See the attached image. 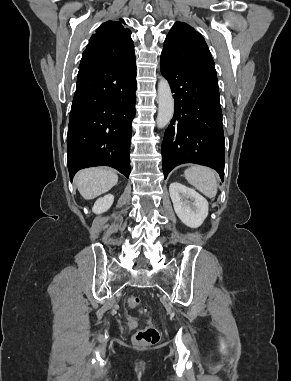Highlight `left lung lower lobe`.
Here are the masks:
<instances>
[{"instance_id":"obj_1","label":"left lung lower lobe","mask_w":291,"mask_h":381,"mask_svg":"<svg viewBox=\"0 0 291 381\" xmlns=\"http://www.w3.org/2000/svg\"><path fill=\"white\" fill-rule=\"evenodd\" d=\"M160 68L174 93V116L162 142L165 179L183 163L215 169L224 177V133L218 80L191 72L161 54Z\"/></svg>"}]
</instances>
